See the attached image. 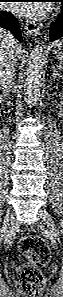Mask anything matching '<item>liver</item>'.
Returning a JSON list of instances; mask_svg holds the SVG:
<instances>
[{
	"label": "liver",
	"mask_w": 63,
	"mask_h": 297,
	"mask_svg": "<svg viewBox=\"0 0 63 297\" xmlns=\"http://www.w3.org/2000/svg\"><path fill=\"white\" fill-rule=\"evenodd\" d=\"M12 37L13 36L9 32L3 29L0 30V53L8 48ZM23 54L24 50L22 49V46L17 43L16 55L21 59Z\"/></svg>",
	"instance_id": "1"
}]
</instances>
